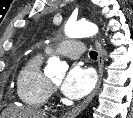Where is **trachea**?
I'll list each match as a JSON object with an SVG mask.
<instances>
[{
  "label": "trachea",
  "mask_w": 133,
  "mask_h": 118,
  "mask_svg": "<svg viewBox=\"0 0 133 118\" xmlns=\"http://www.w3.org/2000/svg\"><path fill=\"white\" fill-rule=\"evenodd\" d=\"M90 57H91V59L96 60L97 59V52L91 51L90 52Z\"/></svg>",
  "instance_id": "obj_1"
}]
</instances>
